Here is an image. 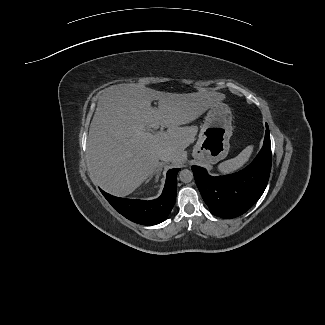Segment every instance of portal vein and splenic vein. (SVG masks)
Segmentation results:
<instances>
[{
    "instance_id": "portal-vein-and-splenic-vein-1",
    "label": "portal vein and splenic vein",
    "mask_w": 325,
    "mask_h": 325,
    "mask_svg": "<svg viewBox=\"0 0 325 325\" xmlns=\"http://www.w3.org/2000/svg\"><path fill=\"white\" fill-rule=\"evenodd\" d=\"M136 135L139 137H143V138H149V137L153 136V134L151 132L143 131V127H137Z\"/></svg>"
}]
</instances>
